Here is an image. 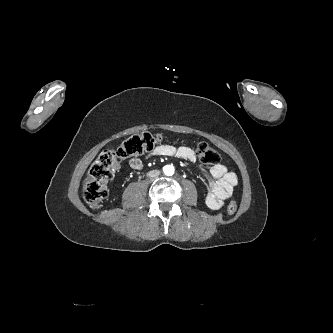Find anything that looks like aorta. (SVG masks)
<instances>
[{
  "instance_id": "aorta-1",
  "label": "aorta",
  "mask_w": 333,
  "mask_h": 333,
  "mask_svg": "<svg viewBox=\"0 0 333 333\" xmlns=\"http://www.w3.org/2000/svg\"><path fill=\"white\" fill-rule=\"evenodd\" d=\"M163 172L167 176H171L174 174V167L172 165H166L163 168Z\"/></svg>"
}]
</instances>
